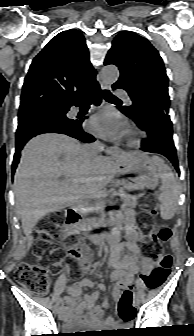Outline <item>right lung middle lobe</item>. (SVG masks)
Listing matches in <instances>:
<instances>
[{"label":"right lung middle lobe","mask_w":194,"mask_h":336,"mask_svg":"<svg viewBox=\"0 0 194 336\" xmlns=\"http://www.w3.org/2000/svg\"><path fill=\"white\" fill-rule=\"evenodd\" d=\"M18 119V124L36 120H53L55 122L70 121V119L66 117V111H64L62 108L22 110L19 111Z\"/></svg>","instance_id":"dd1d6c3e"}]
</instances>
